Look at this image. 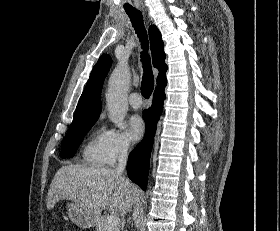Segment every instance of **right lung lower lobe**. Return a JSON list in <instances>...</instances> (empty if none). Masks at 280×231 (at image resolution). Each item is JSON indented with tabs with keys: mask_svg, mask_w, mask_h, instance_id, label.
<instances>
[{
	"mask_svg": "<svg viewBox=\"0 0 280 231\" xmlns=\"http://www.w3.org/2000/svg\"><path fill=\"white\" fill-rule=\"evenodd\" d=\"M165 99L164 88L155 90L153 94L152 106L143 112L146 123V134L134 150L130 153L127 164L129 178L139 185L143 190L147 187V177L149 170L150 155L156 125L163 109Z\"/></svg>",
	"mask_w": 280,
	"mask_h": 231,
	"instance_id": "1",
	"label": "right lung lower lobe"
}]
</instances>
